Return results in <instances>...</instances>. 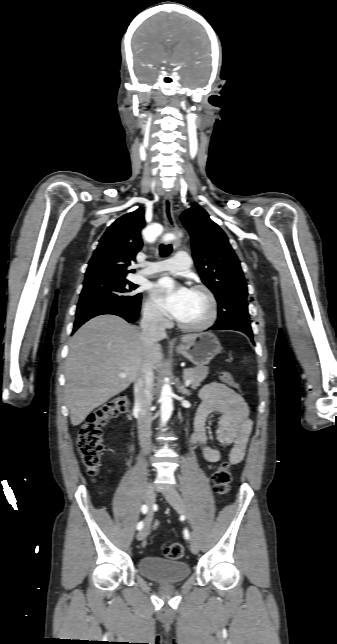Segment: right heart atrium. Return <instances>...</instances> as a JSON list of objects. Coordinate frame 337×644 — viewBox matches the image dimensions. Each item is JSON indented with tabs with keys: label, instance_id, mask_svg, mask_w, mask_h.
<instances>
[{
	"label": "right heart atrium",
	"instance_id": "right-heart-atrium-1",
	"mask_svg": "<svg viewBox=\"0 0 337 644\" xmlns=\"http://www.w3.org/2000/svg\"><path fill=\"white\" fill-rule=\"evenodd\" d=\"M143 312L145 319L151 324L163 325L166 321L163 313L151 300H147Z\"/></svg>",
	"mask_w": 337,
	"mask_h": 644
}]
</instances>
